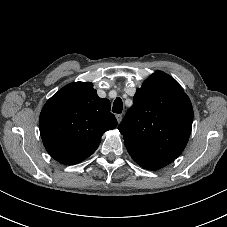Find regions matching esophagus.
I'll use <instances>...</instances> for the list:
<instances>
[{
    "label": "esophagus",
    "instance_id": "esophagus-1",
    "mask_svg": "<svg viewBox=\"0 0 227 227\" xmlns=\"http://www.w3.org/2000/svg\"><path fill=\"white\" fill-rule=\"evenodd\" d=\"M123 115L122 114H116L117 122L120 123L122 121Z\"/></svg>",
    "mask_w": 227,
    "mask_h": 227
}]
</instances>
